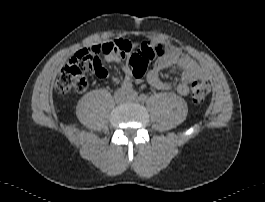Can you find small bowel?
<instances>
[{
	"label": "small bowel",
	"mask_w": 265,
	"mask_h": 202,
	"mask_svg": "<svg viewBox=\"0 0 265 202\" xmlns=\"http://www.w3.org/2000/svg\"><path fill=\"white\" fill-rule=\"evenodd\" d=\"M130 43L132 50L143 44H136L127 40H121ZM147 45V44H146ZM153 45H162L159 43H153ZM163 46V45H162ZM164 56L158 58L151 66L147 74L148 83L157 90H170L171 84L164 81L161 78L163 71L170 68H178L180 70V81L176 85V90L181 95H187L190 91V84L193 80L198 78H206L204 71L200 66L186 54H183L180 50L170 47L163 46ZM103 58L106 62H121L123 61V72L125 74L124 81H132L131 67L129 63L124 60L122 55L118 52L104 53Z\"/></svg>",
	"instance_id": "1"
}]
</instances>
